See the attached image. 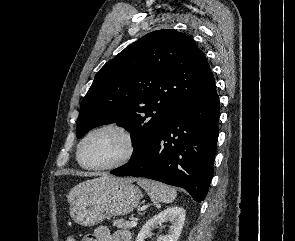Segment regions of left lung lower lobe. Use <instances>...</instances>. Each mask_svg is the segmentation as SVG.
I'll list each match as a JSON object with an SVG mask.
<instances>
[{
  "label": "left lung lower lobe",
  "instance_id": "left-lung-lower-lobe-1",
  "mask_svg": "<svg viewBox=\"0 0 295 241\" xmlns=\"http://www.w3.org/2000/svg\"><path fill=\"white\" fill-rule=\"evenodd\" d=\"M219 106L214 85L174 113L139 155L111 174L157 180L184 188L197 202L204 200L213 175Z\"/></svg>",
  "mask_w": 295,
  "mask_h": 241
}]
</instances>
